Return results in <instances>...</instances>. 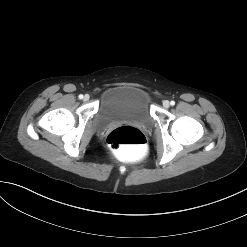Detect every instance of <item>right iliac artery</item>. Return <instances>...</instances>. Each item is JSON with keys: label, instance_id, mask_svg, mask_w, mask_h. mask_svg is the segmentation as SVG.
<instances>
[{"label": "right iliac artery", "instance_id": "right-iliac-artery-1", "mask_svg": "<svg viewBox=\"0 0 247 247\" xmlns=\"http://www.w3.org/2000/svg\"><path fill=\"white\" fill-rule=\"evenodd\" d=\"M78 97H79V99H83V95L82 94H80Z\"/></svg>", "mask_w": 247, "mask_h": 247}]
</instances>
